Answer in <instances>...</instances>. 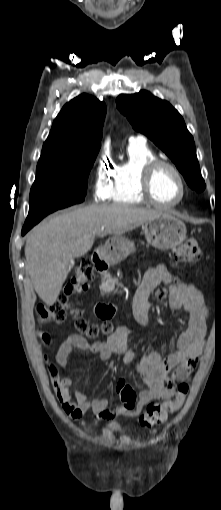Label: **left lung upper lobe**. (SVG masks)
Returning a JSON list of instances; mask_svg holds the SVG:
<instances>
[{
    "label": "left lung upper lobe",
    "mask_w": 221,
    "mask_h": 510,
    "mask_svg": "<svg viewBox=\"0 0 221 510\" xmlns=\"http://www.w3.org/2000/svg\"><path fill=\"white\" fill-rule=\"evenodd\" d=\"M116 105L136 131L145 134L166 153L192 189L198 192L205 189L193 137L170 103L142 90L120 95Z\"/></svg>",
    "instance_id": "5c2ea615"
}]
</instances>
